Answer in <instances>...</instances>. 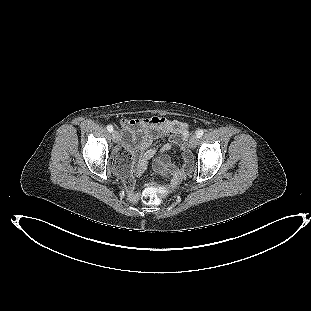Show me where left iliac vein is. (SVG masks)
<instances>
[{
  "instance_id": "obj_1",
  "label": "left iliac vein",
  "mask_w": 311,
  "mask_h": 311,
  "mask_svg": "<svg viewBox=\"0 0 311 311\" xmlns=\"http://www.w3.org/2000/svg\"><path fill=\"white\" fill-rule=\"evenodd\" d=\"M198 143V137L196 134H193L189 139V147L194 149Z\"/></svg>"
}]
</instances>
